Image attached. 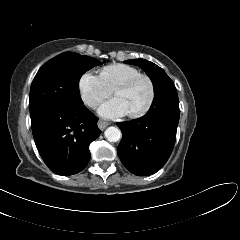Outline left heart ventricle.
<instances>
[{"label":"left heart ventricle","mask_w":240,"mask_h":240,"mask_svg":"<svg viewBox=\"0 0 240 240\" xmlns=\"http://www.w3.org/2000/svg\"><path fill=\"white\" fill-rule=\"evenodd\" d=\"M116 95L126 101L130 112H135L146 105L150 96V87L147 81L141 80L129 89L117 91Z\"/></svg>","instance_id":"left-heart-ventricle-1"}]
</instances>
